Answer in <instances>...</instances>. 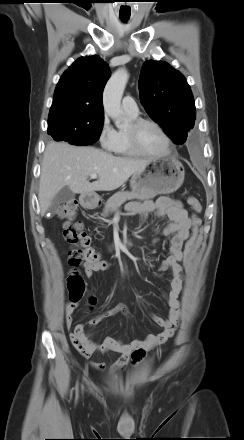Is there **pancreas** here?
<instances>
[{
    "label": "pancreas",
    "mask_w": 244,
    "mask_h": 440,
    "mask_svg": "<svg viewBox=\"0 0 244 440\" xmlns=\"http://www.w3.org/2000/svg\"><path fill=\"white\" fill-rule=\"evenodd\" d=\"M154 196L149 195H140L134 192H128V191H121L115 193L112 197L108 199V201L105 204L103 215L108 216L109 214L115 212L123 203H125L127 200H149L153 198Z\"/></svg>",
    "instance_id": "pancreas-1"
}]
</instances>
